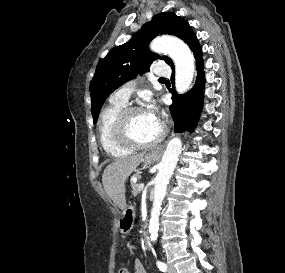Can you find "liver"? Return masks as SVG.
Returning a JSON list of instances; mask_svg holds the SVG:
<instances>
[{"instance_id":"liver-1","label":"liver","mask_w":285,"mask_h":273,"mask_svg":"<svg viewBox=\"0 0 285 273\" xmlns=\"http://www.w3.org/2000/svg\"><path fill=\"white\" fill-rule=\"evenodd\" d=\"M144 152L114 160L109 164L102 175V183L106 194L121 209L126 208L125 182L130 174L144 160Z\"/></svg>"}]
</instances>
